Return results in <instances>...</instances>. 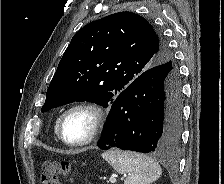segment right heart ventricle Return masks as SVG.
<instances>
[{
	"label": "right heart ventricle",
	"instance_id": "1",
	"mask_svg": "<svg viewBox=\"0 0 224 184\" xmlns=\"http://www.w3.org/2000/svg\"><path fill=\"white\" fill-rule=\"evenodd\" d=\"M58 120H59V117H57V119H56V121H55V131H57Z\"/></svg>",
	"mask_w": 224,
	"mask_h": 184
}]
</instances>
